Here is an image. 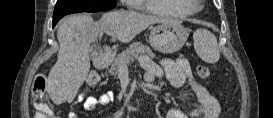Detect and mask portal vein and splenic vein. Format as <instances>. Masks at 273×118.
I'll list each match as a JSON object with an SVG mask.
<instances>
[{"label": "portal vein and splenic vein", "mask_w": 273, "mask_h": 118, "mask_svg": "<svg viewBox=\"0 0 273 118\" xmlns=\"http://www.w3.org/2000/svg\"><path fill=\"white\" fill-rule=\"evenodd\" d=\"M105 33L110 34V31L105 30ZM147 59H148V58L138 57V61H139L140 63L145 62V60H147ZM121 68H127V67H126V65H123V66H121Z\"/></svg>", "instance_id": "1"}]
</instances>
